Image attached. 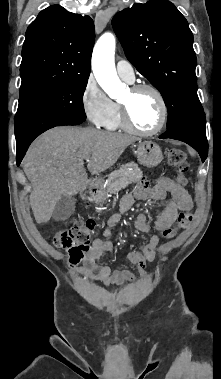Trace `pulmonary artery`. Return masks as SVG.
<instances>
[{
	"label": "pulmonary artery",
	"instance_id": "e3ab8cb5",
	"mask_svg": "<svg viewBox=\"0 0 221 379\" xmlns=\"http://www.w3.org/2000/svg\"><path fill=\"white\" fill-rule=\"evenodd\" d=\"M116 70L120 78L123 80L132 83L135 79L134 69L132 65L125 61L120 60L116 65Z\"/></svg>",
	"mask_w": 221,
	"mask_h": 379
}]
</instances>
